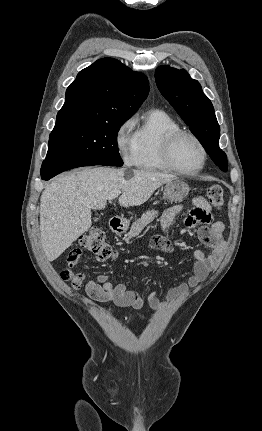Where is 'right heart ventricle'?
<instances>
[{"label": "right heart ventricle", "mask_w": 262, "mask_h": 431, "mask_svg": "<svg viewBox=\"0 0 262 431\" xmlns=\"http://www.w3.org/2000/svg\"><path fill=\"white\" fill-rule=\"evenodd\" d=\"M180 130L178 122L164 111H147L134 123L135 165L141 169L170 171L162 158L165 136Z\"/></svg>", "instance_id": "right-heart-ventricle-1"}]
</instances>
